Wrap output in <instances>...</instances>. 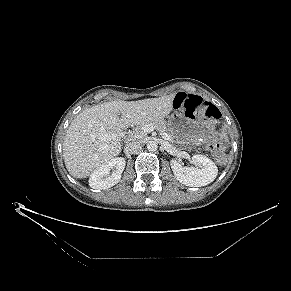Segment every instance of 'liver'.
Wrapping results in <instances>:
<instances>
[{
  "mask_svg": "<svg viewBox=\"0 0 291 291\" xmlns=\"http://www.w3.org/2000/svg\"><path fill=\"white\" fill-rule=\"evenodd\" d=\"M174 97L175 93L138 101H110L83 110L71 122L63 142L68 172L75 178H86L116 157L121 152L120 141L105 136L127 125L166 117L173 109Z\"/></svg>",
  "mask_w": 291,
  "mask_h": 291,
  "instance_id": "obj_1",
  "label": "liver"
}]
</instances>
